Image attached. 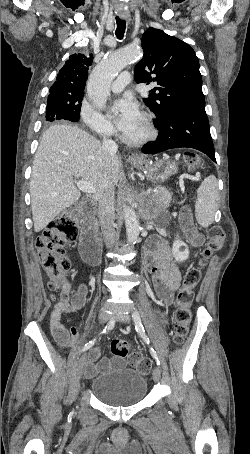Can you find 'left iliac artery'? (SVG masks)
I'll return each instance as SVG.
<instances>
[{
	"label": "left iliac artery",
	"instance_id": "obj_1",
	"mask_svg": "<svg viewBox=\"0 0 250 454\" xmlns=\"http://www.w3.org/2000/svg\"><path fill=\"white\" fill-rule=\"evenodd\" d=\"M132 319H133V322L135 324V329H136L137 333L143 338L145 343H147L149 345L150 344L149 338L145 334V330H144V327L142 325L139 312L136 309L133 310ZM150 353H151L152 357L156 360L157 365L160 366L159 357H158L156 351L152 347L150 348Z\"/></svg>",
	"mask_w": 250,
	"mask_h": 454
}]
</instances>
